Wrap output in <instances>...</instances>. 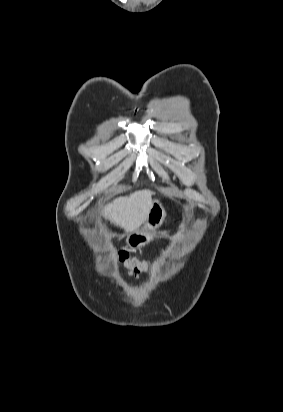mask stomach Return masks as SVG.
Wrapping results in <instances>:
<instances>
[{
  "mask_svg": "<svg viewBox=\"0 0 283 412\" xmlns=\"http://www.w3.org/2000/svg\"><path fill=\"white\" fill-rule=\"evenodd\" d=\"M165 218L166 211L164 206L160 201L154 200L144 226L127 236V246L132 249H137L151 242Z\"/></svg>",
  "mask_w": 283,
  "mask_h": 412,
  "instance_id": "stomach-1",
  "label": "stomach"
}]
</instances>
